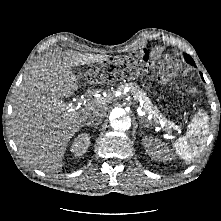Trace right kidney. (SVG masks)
I'll list each match as a JSON object with an SVG mask.
<instances>
[{
	"mask_svg": "<svg viewBox=\"0 0 221 221\" xmlns=\"http://www.w3.org/2000/svg\"><path fill=\"white\" fill-rule=\"evenodd\" d=\"M89 145L90 137L88 134L83 133L78 135V137L74 139L70 151L74 154V156L79 157L86 153Z\"/></svg>",
	"mask_w": 221,
	"mask_h": 221,
	"instance_id": "1",
	"label": "right kidney"
}]
</instances>
